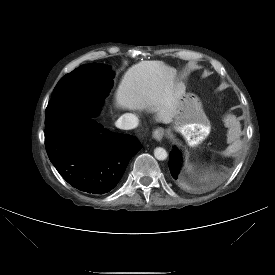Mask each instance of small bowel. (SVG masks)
I'll return each mask as SVG.
<instances>
[{"mask_svg": "<svg viewBox=\"0 0 275 275\" xmlns=\"http://www.w3.org/2000/svg\"><path fill=\"white\" fill-rule=\"evenodd\" d=\"M226 126L229 127V133H228V141L233 142L235 141V133H238L240 131V125L239 122L232 117H228L226 119ZM241 147L240 141H235L232 145H230L225 151H223L224 156H229L230 154L238 151Z\"/></svg>", "mask_w": 275, "mask_h": 275, "instance_id": "c3829d8e", "label": "small bowel"}]
</instances>
